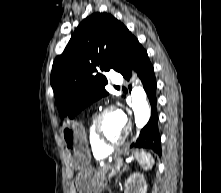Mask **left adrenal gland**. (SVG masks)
<instances>
[{
  "label": "left adrenal gland",
  "mask_w": 221,
  "mask_h": 193,
  "mask_svg": "<svg viewBox=\"0 0 221 193\" xmlns=\"http://www.w3.org/2000/svg\"><path fill=\"white\" fill-rule=\"evenodd\" d=\"M128 169H129L128 166H124V167L122 168V170L119 172V174H118V176H117V178H116V184L118 183V180H119V178L121 177V175L123 174V172L127 171Z\"/></svg>",
  "instance_id": "1"
}]
</instances>
